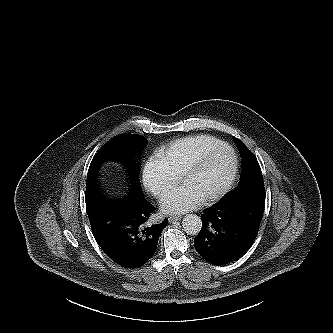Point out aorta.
<instances>
[{
	"instance_id": "1",
	"label": "aorta",
	"mask_w": 333,
	"mask_h": 333,
	"mask_svg": "<svg viewBox=\"0 0 333 333\" xmlns=\"http://www.w3.org/2000/svg\"><path fill=\"white\" fill-rule=\"evenodd\" d=\"M183 230L188 235H197L202 228L201 218L195 214H188L182 221Z\"/></svg>"
}]
</instances>
